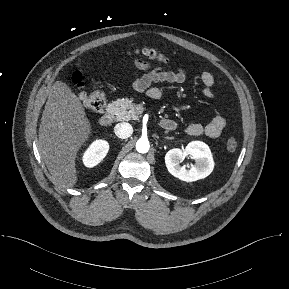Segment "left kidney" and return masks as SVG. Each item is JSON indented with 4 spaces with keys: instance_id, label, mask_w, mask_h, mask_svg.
<instances>
[{
    "instance_id": "left-kidney-1",
    "label": "left kidney",
    "mask_w": 289,
    "mask_h": 289,
    "mask_svg": "<svg viewBox=\"0 0 289 289\" xmlns=\"http://www.w3.org/2000/svg\"><path fill=\"white\" fill-rule=\"evenodd\" d=\"M190 157L195 160V164L188 169L180 163ZM165 164L168 171L182 181L193 182L207 177L214 168L211 151L205 143L201 141L190 142L185 149L174 148L165 155Z\"/></svg>"
}]
</instances>
